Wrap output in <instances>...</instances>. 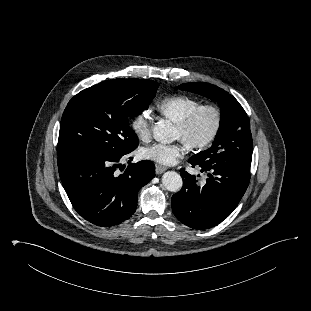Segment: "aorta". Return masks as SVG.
Returning <instances> with one entry per match:
<instances>
[{
  "label": "aorta",
  "mask_w": 311,
  "mask_h": 311,
  "mask_svg": "<svg viewBox=\"0 0 311 311\" xmlns=\"http://www.w3.org/2000/svg\"><path fill=\"white\" fill-rule=\"evenodd\" d=\"M153 138L164 144L173 142L174 127L170 122L160 120L153 128ZM162 183L164 187L171 192L179 191L183 185L182 177L175 171L165 172L162 176Z\"/></svg>",
  "instance_id": "762f6f07"
}]
</instances>
